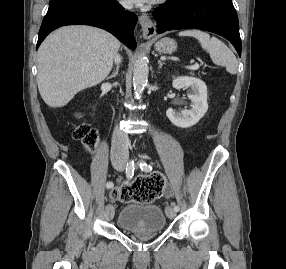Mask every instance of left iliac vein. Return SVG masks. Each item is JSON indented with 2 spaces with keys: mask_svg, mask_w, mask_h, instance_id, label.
Here are the masks:
<instances>
[{
  "mask_svg": "<svg viewBox=\"0 0 286 269\" xmlns=\"http://www.w3.org/2000/svg\"><path fill=\"white\" fill-rule=\"evenodd\" d=\"M166 215L169 219H173L176 216V211L171 206H168L166 208Z\"/></svg>",
  "mask_w": 286,
  "mask_h": 269,
  "instance_id": "4c4485c4",
  "label": "left iliac vein"
}]
</instances>
